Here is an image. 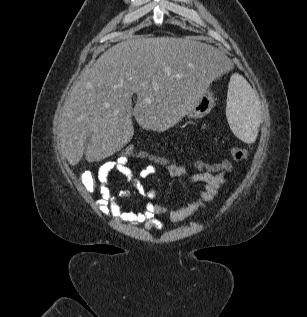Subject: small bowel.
I'll use <instances>...</instances> for the list:
<instances>
[{
  "instance_id": "1",
  "label": "small bowel",
  "mask_w": 307,
  "mask_h": 317,
  "mask_svg": "<svg viewBox=\"0 0 307 317\" xmlns=\"http://www.w3.org/2000/svg\"><path fill=\"white\" fill-rule=\"evenodd\" d=\"M203 128H205V126H203ZM157 169V166L150 164L139 170L136 174L132 170L130 163L123 159L104 162L97 173L100 198L96 201V205L105 215H112L113 217L132 223L146 222L145 227L147 229H160L162 223L154 219L156 215L168 214L174 223L183 221L200 211L215 198L225 178L224 174L206 172L189 174L182 165L172 164L164 167L166 173L172 178H183L202 185L199 194L191 202L180 208H171L155 203L153 200L157 197V191L154 189L146 190L141 182V179L152 175ZM113 171L125 176L128 181L133 183L137 192L149 200L142 211L129 212L123 211L120 208L118 197L124 196L126 193L120 192L118 195H114L111 192L109 183L110 175Z\"/></svg>"
}]
</instances>
